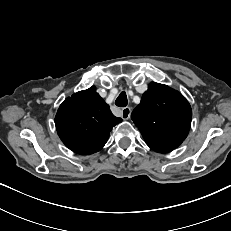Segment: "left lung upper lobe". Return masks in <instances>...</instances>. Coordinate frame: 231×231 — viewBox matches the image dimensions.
I'll use <instances>...</instances> for the list:
<instances>
[{
	"label": "left lung upper lobe",
	"instance_id": "1",
	"mask_svg": "<svg viewBox=\"0 0 231 231\" xmlns=\"http://www.w3.org/2000/svg\"><path fill=\"white\" fill-rule=\"evenodd\" d=\"M131 118L146 144L156 152L165 153L177 148L187 137L192 110L178 91L151 82Z\"/></svg>",
	"mask_w": 231,
	"mask_h": 231
}]
</instances>
